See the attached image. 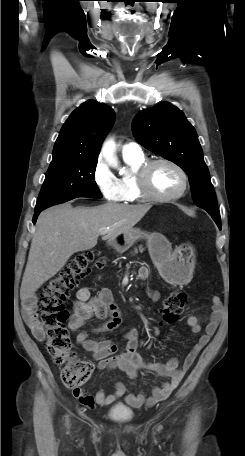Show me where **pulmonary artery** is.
<instances>
[{"mask_svg": "<svg viewBox=\"0 0 245 456\" xmlns=\"http://www.w3.org/2000/svg\"><path fill=\"white\" fill-rule=\"evenodd\" d=\"M122 153L126 155H140L143 154L140 146L137 143L129 142L122 146Z\"/></svg>", "mask_w": 245, "mask_h": 456, "instance_id": "1", "label": "pulmonary artery"}]
</instances>
